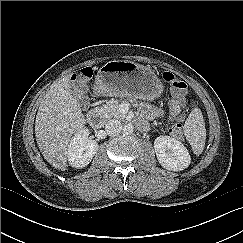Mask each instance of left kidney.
I'll return each instance as SVG.
<instances>
[{"instance_id":"left-kidney-1","label":"left kidney","mask_w":243,"mask_h":243,"mask_svg":"<svg viewBox=\"0 0 243 243\" xmlns=\"http://www.w3.org/2000/svg\"><path fill=\"white\" fill-rule=\"evenodd\" d=\"M154 149L162 167L171 171H181L191 163L187 148L170 136H159L154 141Z\"/></svg>"}]
</instances>
